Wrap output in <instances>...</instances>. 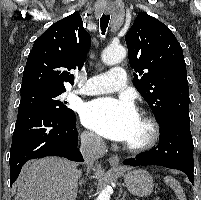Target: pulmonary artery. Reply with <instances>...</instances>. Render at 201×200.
Masks as SVG:
<instances>
[{
	"mask_svg": "<svg viewBox=\"0 0 201 200\" xmlns=\"http://www.w3.org/2000/svg\"><path fill=\"white\" fill-rule=\"evenodd\" d=\"M126 85V73L123 68L115 67L110 71L90 77L86 85L78 93L98 95L116 92Z\"/></svg>",
	"mask_w": 201,
	"mask_h": 200,
	"instance_id": "1",
	"label": "pulmonary artery"
}]
</instances>
